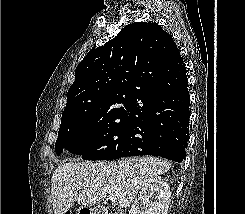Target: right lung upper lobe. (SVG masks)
I'll use <instances>...</instances> for the list:
<instances>
[{"instance_id": "cb5924a9", "label": "right lung upper lobe", "mask_w": 245, "mask_h": 214, "mask_svg": "<svg viewBox=\"0 0 245 214\" xmlns=\"http://www.w3.org/2000/svg\"><path fill=\"white\" fill-rule=\"evenodd\" d=\"M184 78L185 64L171 35L156 23H131L79 63L62 116H120Z\"/></svg>"}]
</instances>
